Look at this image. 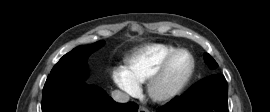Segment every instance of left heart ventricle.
Masks as SVG:
<instances>
[{
	"mask_svg": "<svg viewBox=\"0 0 270 112\" xmlns=\"http://www.w3.org/2000/svg\"><path fill=\"white\" fill-rule=\"evenodd\" d=\"M191 65L188 54H177L169 64L159 86L158 92H166L174 88L187 74Z\"/></svg>",
	"mask_w": 270,
	"mask_h": 112,
	"instance_id": "1",
	"label": "left heart ventricle"
}]
</instances>
